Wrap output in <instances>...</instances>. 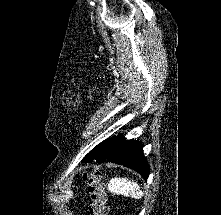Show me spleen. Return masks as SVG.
Instances as JSON below:
<instances>
[{
  "label": "spleen",
  "mask_w": 221,
  "mask_h": 215,
  "mask_svg": "<svg viewBox=\"0 0 221 215\" xmlns=\"http://www.w3.org/2000/svg\"><path fill=\"white\" fill-rule=\"evenodd\" d=\"M108 190L114 194H122L135 199L143 196L140 186L128 178H113L108 184Z\"/></svg>",
  "instance_id": "1"
}]
</instances>
